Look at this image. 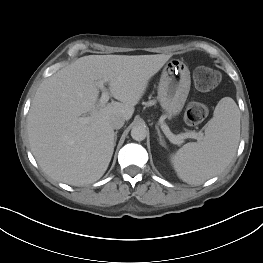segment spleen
<instances>
[{"label":"spleen","mask_w":263,"mask_h":263,"mask_svg":"<svg viewBox=\"0 0 263 263\" xmlns=\"http://www.w3.org/2000/svg\"><path fill=\"white\" fill-rule=\"evenodd\" d=\"M240 138V112L230 97L217 104L200 142L187 143L171 156L178 177L200 184L223 171L235 155Z\"/></svg>","instance_id":"spleen-1"}]
</instances>
